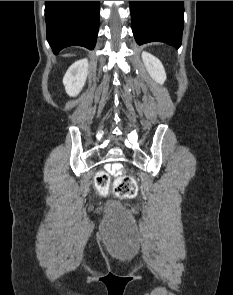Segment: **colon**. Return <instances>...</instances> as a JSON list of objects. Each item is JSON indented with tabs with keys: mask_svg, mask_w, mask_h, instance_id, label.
I'll use <instances>...</instances> for the list:
<instances>
[{
	"mask_svg": "<svg viewBox=\"0 0 233 295\" xmlns=\"http://www.w3.org/2000/svg\"><path fill=\"white\" fill-rule=\"evenodd\" d=\"M94 184L96 189L103 195L110 191V176L105 171H100L95 175ZM138 185L134 178L123 176L118 178L112 187V193L121 199H131L137 195Z\"/></svg>",
	"mask_w": 233,
	"mask_h": 295,
	"instance_id": "colon-1",
	"label": "colon"
}]
</instances>
